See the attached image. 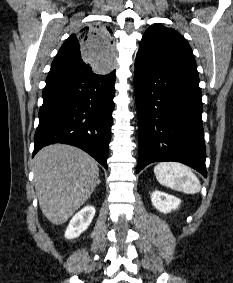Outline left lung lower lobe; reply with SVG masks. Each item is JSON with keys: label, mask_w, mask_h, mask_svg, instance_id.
I'll use <instances>...</instances> for the list:
<instances>
[{"label": "left lung lower lobe", "mask_w": 233, "mask_h": 283, "mask_svg": "<svg viewBox=\"0 0 233 283\" xmlns=\"http://www.w3.org/2000/svg\"><path fill=\"white\" fill-rule=\"evenodd\" d=\"M134 81L140 132L136 173L152 162L176 161L207 177L196 64L137 54Z\"/></svg>", "instance_id": "left-lung-lower-lobe-1"}]
</instances>
